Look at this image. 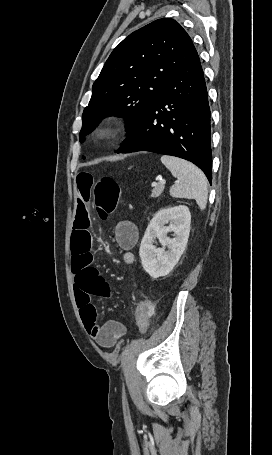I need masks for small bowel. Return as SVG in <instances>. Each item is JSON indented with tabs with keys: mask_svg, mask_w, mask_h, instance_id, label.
<instances>
[{
	"mask_svg": "<svg viewBox=\"0 0 272 455\" xmlns=\"http://www.w3.org/2000/svg\"><path fill=\"white\" fill-rule=\"evenodd\" d=\"M95 183L94 175L89 172L82 171L76 176L77 211L71 238V268L75 277L76 302L86 330L100 346L108 348L125 334L126 327L118 320H108L103 325L97 323V309L93 299L110 297L111 289L101 272L93 265L91 253L89 202ZM114 235L122 249V261L126 265L134 264L136 256L133 248L138 240L136 225L122 220L116 224Z\"/></svg>",
	"mask_w": 272,
	"mask_h": 455,
	"instance_id": "1",
	"label": "small bowel"
}]
</instances>
